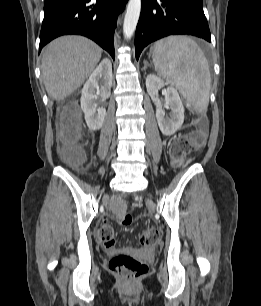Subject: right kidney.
<instances>
[{
    "label": "right kidney",
    "mask_w": 261,
    "mask_h": 306,
    "mask_svg": "<svg viewBox=\"0 0 261 306\" xmlns=\"http://www.w3.org/2000/svg\"><path fill=\"white\" fill-rule=\"evenodd\" d=\"M102 82V85H99ZM112 64L109 59H103L83 86L81 109L90 130H99L104 122L106 109L98 106V98L106 100L111 94Z\"/></svg>",
    "instance_id": "right-kidney-1"
}]
</instances>
